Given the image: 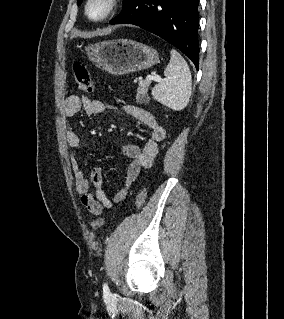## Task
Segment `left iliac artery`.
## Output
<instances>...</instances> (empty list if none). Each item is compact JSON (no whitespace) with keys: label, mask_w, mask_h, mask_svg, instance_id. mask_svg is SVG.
<instances>
[{"label":"left iliac artery","mask_w":284,"mask_h":319,"mask_svg":"<svg viewBox=\"0 0 284 319\" xmlns=\"http://www.w3.org/2000/svg\"><path fill=\"white\" fill-rule=\"evenodd\" d=\"M103 291H104V293L109 294V288H108V285L106 283H104V285H103Z\"/></svg>","instance_id":"left-iliac-artery-1"}]
</instances>
